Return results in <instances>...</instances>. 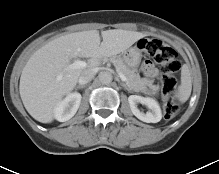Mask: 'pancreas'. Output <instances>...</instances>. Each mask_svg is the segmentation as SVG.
I'll return each instance as SVG.
<instances>
[{"label": "pancreas", "instance_id": "1", "mask_svg": "<svg viewBox=\"0 0 219 174\" xmlns=\"http://www.w3.org/2000/svg\"><path fill=\"white\" fill-rule=\"evenodd\" d=\"M110 61L114 64L116 69L127 78L126 84L130 89H133L134 91H142L146 86L155 91L159 89V86L153 85V80L141 78L139 73H137L135 69L128 67L121 57L112 56L110 57Z\"/></svg>", "mask_w": 219, "mask_h": 174}]
</instances>
